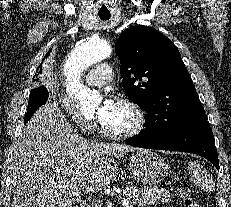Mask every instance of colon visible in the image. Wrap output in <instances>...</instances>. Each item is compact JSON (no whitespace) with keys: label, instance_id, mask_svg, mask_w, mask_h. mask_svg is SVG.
<instances>
[{"label":"colon","instance_id":"obj_1","mask_svg":"<svg viewBox=\"0 0 231 207\" xmlns=\"http://www.w3.org/2000/svg\"><path fill=\"white\" fill-rule=\"evenodd\" d=\"M181 196L183 199V207H201L200 203L194 198L190 189H182Z\"/></svg>","mask_w":231,"mask_h":207}]
</instances>
